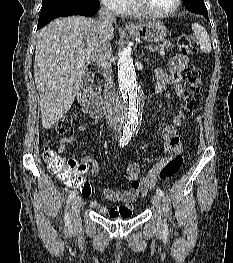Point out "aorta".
Instances as JSON below:
<instances>
[{
    "label": "aorta",
    "instance_id": "obj_1",
    "mask_svg": "<svg viewBox=\"0 0 233 263\" xmlns=\"http://www.w3.org/2000/svg\"><path fill=\"white\" fill-rule=\"evenodd\" d=\"M118 81L120 88L121 114L125 126L135 131L141 117L143 92L137 82L133 59L124 49L118 59Z\"/></svg>",
    "mask_w": 233,
    "mask_h": 263
}]
</instances>
